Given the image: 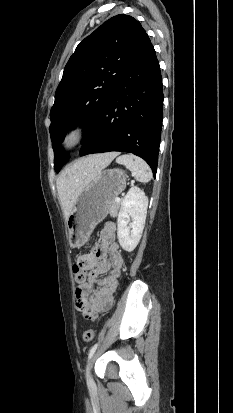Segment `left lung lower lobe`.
I'll use <instances>...</instances> for the list:
<instances>
[{
    "instance_id": "left-lung-lower-lobe-1",
    "label": "left lung lower lobe",
    "mask_w": 233,
    "mask_h": 413,
    "mask_svg": "<svg viewBox=\"0 0 233 413\" xmlns=\"http://www.w3.org/2000/svg\"><path fill=\"white\" fill-rule=\"evenodd\" d=\"M163 119L160 66L146 34L79 151H121L143 158L156 175Z\"/></svg>"
}]
</instances>
